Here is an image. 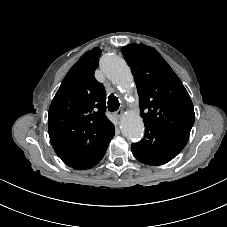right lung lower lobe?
Returning <instances> with one entry per match:
<instances>
[{"instance_id": "right-lung-lower-lobe-1", "label": "right lung lower lobe", "mask_w": 227, "mask_h": 227, "mask_svg": "<svg viewBox=\"0 0 227 227\" xmlns=\"http://www.w3.org/2000/svg\"><path fill=\"white\" fill-rule=\"evenodd\" d=\"M114 135H115V131H114V129H113V131H112V133H111V135H110L109 142H110V140L113 138ZM108 144H109V143H108ZM107 147H108V145L105 147V149H104L96 158L91 159V160L86 161V162H83V163H81V164H78V165L74 166L73 168H74V169L81 170V169H89V168L95 166L97 163H99V161L102 160V158H103V156H104V154H105V152H106V150H107Z\"/></svg>"}]
</instances>
